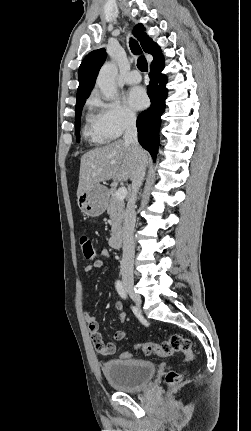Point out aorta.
Wrapping results in <instances>:
<instances>
[{"label": "aorta", "mask_w": 251, "mask_h": 431, "mask_svg": "<svg viewBox=\"0 0 251 431\" xmlns=\"http://www.w3.org/2000/svg\"><path fill=\"white\" fill-rule=\"evenodd\" d=\"M118 69L115 63L106 62L100 69L96 84L106 100H111L117 93L115 78Z\"/></svg>", "instance_id": "aorta-1"}]
</instances>
